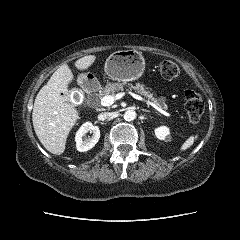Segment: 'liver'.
Segmentation results:
<instances>
[{
  "instance_id": "1",
  "label": "liver",
  "mask_w": 240,
  "mask_h": 240,
  "mask_svg": "<svg viewBox=\"0 0 240 240\" xmlns=\"http://www.w3.org/2000/svg\"><path fill=\"white\" fill-rule=\"evenodd\" d=\"M95 60V55H87L74 64L77 69L86 70ZM73 79L71 69L67 64H63L40 89L34 102L32 112L34 131L45 149L55 155L64 152L69 132L79 119L78 111L65 102L64 96L68 91V84Z\"/></svg>"
}]
</instances>
